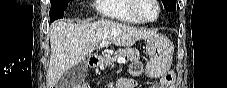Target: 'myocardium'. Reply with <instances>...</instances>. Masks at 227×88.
<instances>
[{"mask_svg": "<svg viewBox=\"0 0 227 88\" xmlns=\"http://www.w3.org/2000/svg\"><path fill=\"white\" fill-rule=\"evenodd\" d=\"M139 1L140 0H131L130 6H129L131 14L137 19V21L139 23H154V22H156L161 15V8H160V5H159V1L158 0H151L152 3L157 8V15L153 19H143L139 16L138 11H137Z\"/></svg>", "mask_w": 227, "mask_h": 88, "instance_id": "obj_1", "label": "myocardium"}]
</instances>
